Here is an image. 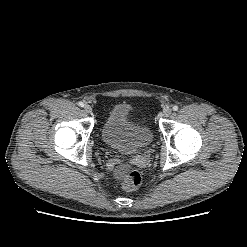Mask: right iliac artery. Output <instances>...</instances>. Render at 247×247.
Masks as SVG:
<instances>
[{
  "label": "right iliac artery",
  "mask_w": 247,
  "mask_h": 247,
  "mask_svg": "<svg viewBox=\"0 0 247 247\" xmlns=\"http://www.w3.org/2000/svg\"><path fill=\"white\" fill-rule=\"evenodd\" d=\"M78 105H79L80 107H84V103H83V102H79Z\"/></svg>",
  "instance_id": "right-iliac-artery-1"
}]
</instances>
